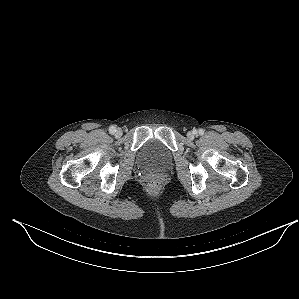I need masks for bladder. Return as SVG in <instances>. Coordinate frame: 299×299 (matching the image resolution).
Masks as SVG:
<instances>
[{
  "label": "bladder",
  "mask_w": 299,
  "mask_h": 299,
  "mask_svg": "<svg viewBox=\"0 0 299 299\" xmlns=\"http://www.w3.org/2000/svg\"><path fill=\"white\" fill-rule=\"evenodd\" d=\"M141 162L154 169L166 167L171 161V153L156 140L148 141L140 150Z\"/></svg>",
  "instance_id": "31cf9c89"
}]
</instances>
